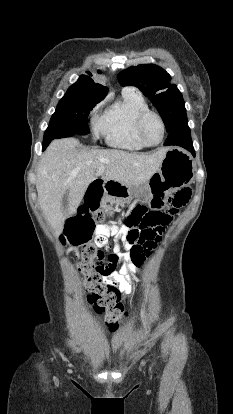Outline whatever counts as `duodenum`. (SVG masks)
<instances>
[{
	"mask_svg": "<svg viewBox=\"0 0 233 414\" xmlns=\"http://www.w3.org/2000/svg\"><path fill=\"white\" fill-rule=\"evenodd\" d=\"M120 185L116 181L112 180H95L93 181L88 188L87 196L83 201V206L87 212H95L97 206L101 200V197L104 194L114 195V188ZM115 196V195H114Z\"/></svg>",
	"mask_w": 233,
	"mask_h": 414,
	"instance_id": "duodenum-1",
	"label": "duodenum"
}]
</instances>
